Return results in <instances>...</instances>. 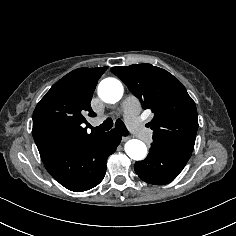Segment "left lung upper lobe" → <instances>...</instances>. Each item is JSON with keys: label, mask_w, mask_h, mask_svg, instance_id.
Returning <instances> with one entry per match:
<instances>
[{"label": "left lung upper lobe", "mask_w": 236, "mask_h": 236, "mask_svg": "<svg viewBox=\"0 0 236 236\" xmlns=\"http://www.w3.org/2000/svg\"><path fill=\"white\" fill-rule=\"evenodd\" d=\"M144 109H151L153 141L165 142L192 153L198 119L196 105L183 84L166 70L151 64L111 68Z\"/></svg>", "instance_id": "1"}]
</instances>
